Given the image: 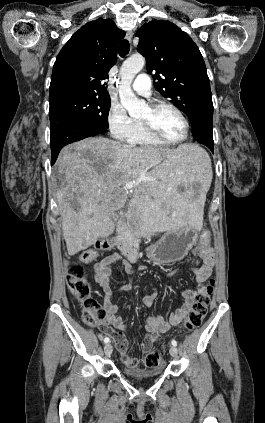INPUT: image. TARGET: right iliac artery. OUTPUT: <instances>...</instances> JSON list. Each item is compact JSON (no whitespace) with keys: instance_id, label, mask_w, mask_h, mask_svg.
Here are the masks:
<instances>
[{"instance_id":"obj_1","label":"right iliac artery","mask_w":265,"mask_h":423,"mask_svg":"<svg viewBox=\"0 0 265 423\" xmlns=\"http://www.w3.org/2000/svg\"><path fill=\"white\" fill-rule=\"evenodd\" d=\"M110 341V339L108 338V337H106L105 339H104V343H108Z\"/></svg>"}]
</instances>
